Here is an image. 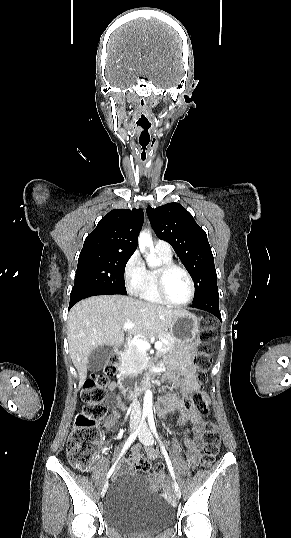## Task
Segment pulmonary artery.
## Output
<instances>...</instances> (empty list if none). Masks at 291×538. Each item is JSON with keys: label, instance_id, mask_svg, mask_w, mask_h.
Segmentation results:
<instances>
[{"label": "pulmonary artery", "instance_id": "e3ab8cb5", "mask_svg": "<svg viewBox=\"0 0 291 538\" xmlns=\"http://www.w3.org/2000/svg\"><path fill=\"white\" fill-rule=\"evenodd\" d=\"M154 249L157 252H160L166 256H172V248L169 243L163 240H157L154 243Z\"/></svg>", "mask_w": 291, "mask_h": 538}]
</instances>
